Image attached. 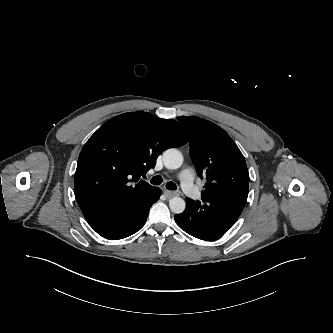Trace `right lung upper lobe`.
<instances>
[{"instance_id":"obj_1","label":"right lung upper lobe","mask_w":333,"mask_h":333,"mask_svg":"<svg viewBox=\"0 0 333 333\" xmlns=\"http://www.w3.org/2000/svg\"><path fill=\"white\" fill-rule=\"evenodd\" d=\"M187 142L188 133L178 122L148 112L110 119L79 155L74 192L80 209L126 206L143 200L156 187L140 177L155 165L162 151Z\"/></svg>"}]
</instances>
